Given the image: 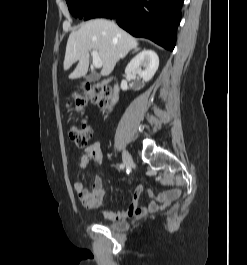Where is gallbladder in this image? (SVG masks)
Returning <instances> with one entry per match:
<instances>
[{
    "mask_svg": "<svg viewBox=\"0 0 247 265\" xmlns=\"http://www.w3.org/2000/svg\"><path fill=\"white\" fill-rule=\"evenodd\" d=\"M95 80V76L94 75H88L87 77H86V81L87 82H91V81H94Z\"/></svg>",
    "mask_w": 247,
    "mask_h": 265,
    "instance_id": "obj_1",
    "label": "gallbladder"
}]
</instances>
